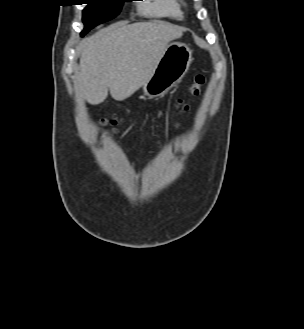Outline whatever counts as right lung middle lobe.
<instances>
[{"mask_svg":"<svg viewBox=\"0 0 304 329\" xmlns=\"http://www.w3.org/2000/svg\"><path fill=\"white\" fill-rule=\"evenodd\" d=\"M129 0H87L83 10V23L85 25L81 36H84L93 27L116 17L123 2Z\"/></svg>","mask_w":304,"mask_h":329,"instance_id":"dd1d6c3e","label":"right lung middle lobe"}]
</instances>
